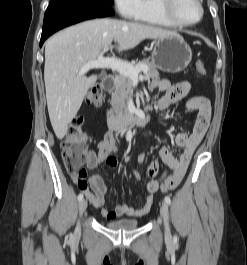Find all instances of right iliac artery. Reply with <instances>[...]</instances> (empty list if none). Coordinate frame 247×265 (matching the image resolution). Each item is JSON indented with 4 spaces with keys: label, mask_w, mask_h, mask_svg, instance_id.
Masks as SVG:
<instances>
[{
    "label": "right iliac artery",
    "mask_w": 247,
    "mask_h": 265,
    "mask_svg": "<svg viewBox=\"0 0 247 265\" xmlns=\"http://www.w3.org/2000/svg\"><path fill=\"white\" fill-rule=\"evenodd\" d=\"M83 198H84L83 194H82V193H80V194L78 195V201H81V200H83Z\"/></svg>",
    "instance_id": "obj_1"
}]
</instances>
